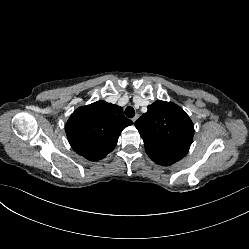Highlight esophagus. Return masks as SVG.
Returning a JSON list of instances; mask_svg holds the SVG:
<instances>
[{"mask_svg": "<svg viewBox=\"0 0 249 249\" xmlns=\"http://www.w3.org/2000/svg\"><path fill=\"white\" fill-rule=\"evenodd\" d=\"M138 118H139V115H138V114L135 115V117L132 118L133 123H135V121H136Z\"/></svg>", "mask_w": 249, "mask_h": 249, "instance_id": "obj_1", "label": "esophagus"}]
</instances>
